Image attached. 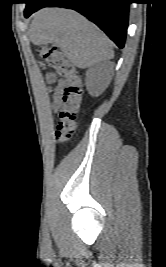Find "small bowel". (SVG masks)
Here are the masks:
<instances>
[{"label":"small bowel","instance_id":"obj_1","mask_svg":"<svg viewBox=\"0 0 166 267\" xmlns=\"http://www.w3.org/2000/svg\"><path fill=\"white\" fill-rule=\"evenodd\" d=\"M65 87V81L60 80L54 90V95H55V102H57V97L58 95L62 92L63 88Z\"/></svg>","mask_w":166,"mask_h":267}]
</instances>
